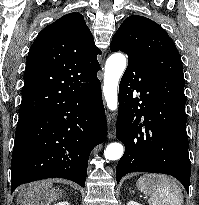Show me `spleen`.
<instances>
[{
	"mask_svg": "<svg viewBox=\"0 0 199 205\" xmlns=\"http://www.w3.org/2000/svg\"><path fill=\"white\" fill-rule=\"evenodd\" d=\"M137 188L150 196V205H183V194L177 182L162 174H144Z\"/></svg>",
	"mask_w": 199,
	"mask_h": 205,
	"instance_id": "spleen-1",
	"label": "spleen"
}]
</instances>
